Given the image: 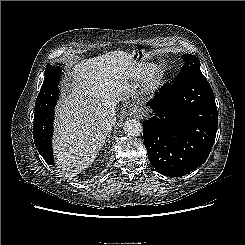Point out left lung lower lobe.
Instances as JSON below:
<instances>
[{"instance_id":"left-lung-lower-lobe-1","label":"left lung lower lobe","mask_w":245,"mask_h":245,"mask_svg":"<svg viewBox=\"0 0 245 245\" xmlns=\"http://www.w3.org/2000/svg\"><path fill=\"white\" fill-rule=\"evenodd\" d=\"M148 105L155 113L143 122L144 143L153 167L179 177L202 165L215 141L218 112L203 74L165 87Z\"/></svg>"}]
</instances>
